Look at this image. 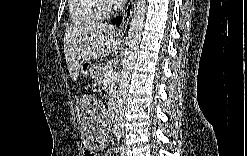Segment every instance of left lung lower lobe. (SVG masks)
Returning <instances> with one entry per match:
<instances>
[{
  "mask_svg": "<svg viewBox=\"0 0 247 156\" xmlns=\"http://www.w3.org/2000/svg\"><path fill=\"white\" fill-rule=\"evenodd\" d=\"M121 20H122V17H118V18H116V19H113V20H112V23H113V24H120Z\"/></svg>",
  "mask_w": 247,
  "mask_h": 156,
  "instance_id": "1",
  "label": "left lung lower lobe"
}]
</instances>
